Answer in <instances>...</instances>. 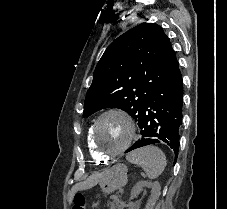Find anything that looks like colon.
I'll return each instance as SVG.
<instances>
[{
  "label": "colon",
  "mask_w": 227,
  "mask_h": 209,
  "mask_svg": "<svg viewBox=\"0 0 227 209\" xmlns=\"http://www.w3.org/2000/svg\"><path fill=\"white\" fill-rule=\"evenodd\" d=\"M71 209H86V198L83 194L75 195Z\"/></svg>",
  "instance_id": "colon-1"
}]
</instances>
